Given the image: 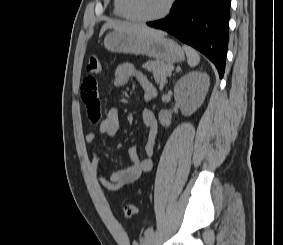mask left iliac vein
<instances>
[{"mask_svg":"<svg viewBox=\"0 0 283 245\" xmlns=\"http://www.w3.org/2000/svg\"><path fill=\"white\" fill-rule=\"evenodd\" d=\"M157 238V234L153 233L150 236L146 237L143 241H142V245H154V242Z\"/></svg>","mask_w":283,"mask_h":245,"instance_id":"1","label":"left iliac vein"}]
</instances>
